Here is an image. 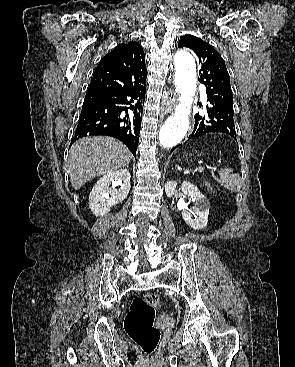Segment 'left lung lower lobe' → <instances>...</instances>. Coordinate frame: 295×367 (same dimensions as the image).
<instances>
[{"label":"left lung lower lobe","instance_id":"1","mask_svg":"<svg viewBox=\"0 0 295 367\" xmlns=\"http://www.w3.org/2000/svg\"><path fill=\"white\" fill-rule=\"evenodd\" d=\"M209 102L204 115H195V125L193 132L188 138H195L207 133H224L230 135L236 140V131L234 126L233 105L213 99H207ZM173 148L171 151H173Z\"/></svg>","mask_w":295,"mask_h":367}]
</instances>
